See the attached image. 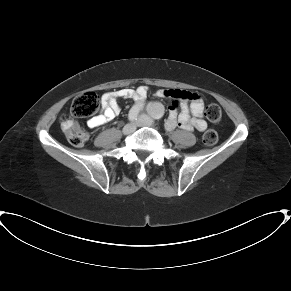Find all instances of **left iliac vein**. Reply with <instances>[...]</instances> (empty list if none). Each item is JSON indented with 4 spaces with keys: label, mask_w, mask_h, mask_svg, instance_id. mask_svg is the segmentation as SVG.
<instances>
[{
    "label": "left iliac vein",
    "mask_w": 291,
    "mask_h": 291,
    "mask_svg": "<svg viewBox=\"0 0 291 291\" xmlns=\"http://www.w3.org/2000/svg\"><path fill=\"white\" fill-rule=\"evenodd\" d=\"M137 124L140 127H143V126H153L154 122H153V120L149 116L142 115V116L139 117Z\"/></svg>",
    "instance_id": "4c4485c4"
}]
</instances>
